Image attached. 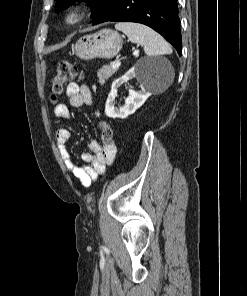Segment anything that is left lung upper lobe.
<instances>
[{
  "mask_svg": "<svg viewBox=\"0 0 247 296\" xmlns=\"http://www.w3.org/2000/svg\"><path fill=\"white\" fill-rule=\"evenodd\" d=\"M76 1H86L88 3L92 4V14L91 17L94 19L96 16H98L111 2V0H57L55 5V11L59 12L65 8H67L69 5L75 3Z\"/></svg>",
  "mask_w": 247,
  "mask_h": 296,
  "instance_id": "obj_1",
  "label": "left lung upper lobe"
}]
</instances>
